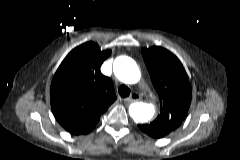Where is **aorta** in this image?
I'll list each match as a JSON object with an SVG mask.
<instances>
[{
    "label": "aorta",
    "instance_id": "1",
    "mask_svg": "<svg viewBox=\"0 0 240 160\" xmlns=\"http://www.w3.org/2000/svg\"><path fill=\"white\" fill-rule=\"evenodd\" d=\"M113 71L120 81L127 84H134L140 78L136 62L128 56L117 57L113 64ZM129 114L136 123H145L154 116L155 107L142 102L133 103L129 107Z\"/></svg>",
    "mask_w": 240,
    "mask_h": 160
}]
</instances>
